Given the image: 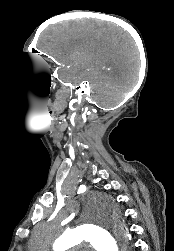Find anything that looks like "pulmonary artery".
Here are the masks:
<instances>
[{
    "label": "pulmonary artery",
    "instance_id": "pulmonary-artery-1",
    "mask_svg": "<svg viewBox=\"0 0 174 251\" xmlns=\"http://www.w3.org/2000/svg\"><path fill=\"white\" fill-rule=\"evenodd\" d=\"M85 247H88V245L85 244ZM71 251H74V250H71Z\"/></svg>",
    "mask_w": 174,
    "mask_h": 251
}]
</instances>
